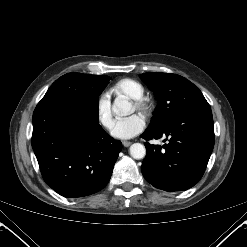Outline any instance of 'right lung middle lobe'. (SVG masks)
Segmentation results:
<instances>
[{
  "instance_id": "right-lung-middle-lobe-1",
  "label": "right lung middle lobe",
  "mask_w": 247,
  "mask_h": 247,
  "mask_svg": "<svg viewBox=\"0 0 247 247\" xmlns=\"http://www.w3.org/2000/svg\"><path fill=\"white\" fill-rule=\"evenodd\" d=\"M109 80L108 76L68 73L57 79L43 98L64 97L80 101H93L98 106V96Z\"/></svg>"
}]
</instances>
